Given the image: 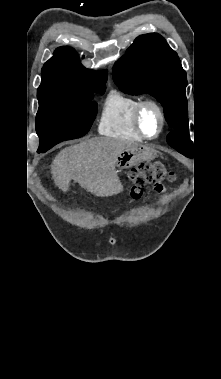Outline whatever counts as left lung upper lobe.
Listing matches in <instances>:
<instances>
[{
	"instance_id": "obj_1",
	"label": "left lung upper lobe",
	"mask_w": 221,
	"mask_h": 379,
	"mask_svg": "<svg viewBox=\"0 0 221 379\" xmlns=\"http://www.w3.org/2000/svg\"><path fill=\"white\" fill-rule=\"evenodd\" d=\"M113 79L125 93L154 96L162 104L169 126L174 128L167 135V142L186 157L193 156L185 95L186 72L176 52L161 35L149 33L137 37L124 57L115 63Z\"/></svg>"
}]
</instances>
